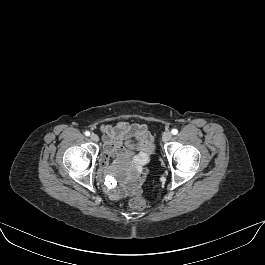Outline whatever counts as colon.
Here are the masks:
<instances>
[{"instance_id":"colon-1","label":"colon","mask_w":265,"mask_h":265,"mask_svg":"<svg viewBox=\"0 0 265 265\" xmlns=\"http://www.w3.org/2000/svg\"><path fill=\"white\" fill-rule=\"evenodd\" d=\"M129 205L133 210L140 211L146 207V200L142 197H136L130 201Z\"/></svg>"}]
</instances>
